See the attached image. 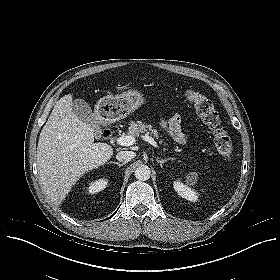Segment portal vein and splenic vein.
<instances>
[{
    "instance_id": "18ae733b",
    "label": "portal vein and splenic vein",
    "mask_w": 280,
    "mask_h": 280,
    "mask_svg": "<svg viewBox=\"0 0 280 280\" xmlns=\"http://www.w3.org/2000/svg\"><path fill=\"white\" fill-rule=\"evenodd\" d=\"M142 138L149 142L151 145H153L154 147H158L157 143L155 142V140L148 136V135H145V136H142ZM135 137L131 136V135H122L120 137L117 138V143L121 146H131L135 143Z\"/></svg>"
}]
</instances>
